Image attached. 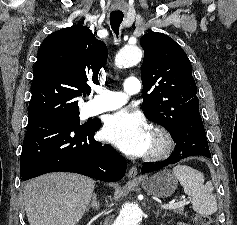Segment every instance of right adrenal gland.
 Listing matches in <instances>:
<instances>
[{
	"mask_svg": "<svg viewBox=\"0 0 237 225\" xmlns=\"http://www.w3.org/2000/svg\"><path fill=\"white\" fill-rule=\"evenodd\" d=\"M93 208L94 210H99L100 208V203L97 201V195L95 193H93L92 195V202L91 204L88 205V207L86 208V211L89 212V210Z\"/></svg>",
	"mask_w": 237,
	"mask_h": 225,
	"instance_id": "right-adrenal-gland-1",
	"label": "right adrenal gland"
}]
</instances>
